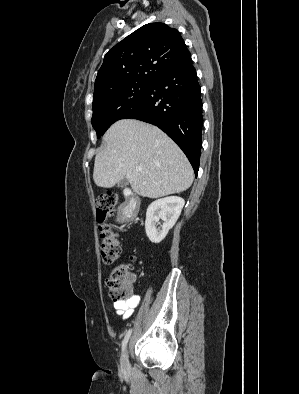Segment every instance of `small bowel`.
Returning a JSON list of instances; mask_svg holds the SVG:
<instances>
[{"label": "small bowel", "mask_w": 299, "mask_h": 394, "mask_svg": "<svg viewBox=\"0 0 299 394\" xmlns=\"http://www.w3.org/2000/svg\"><path fill=\"white\" fill-rule=\"evenodd\" d=\"M139 299V296L134 295L128 301H115L113 306L116 312L121 315L123 319H127L132 315L135 307L138 305Z\"/></svg>", "instance_id": "obj_1"}]
</instances>
